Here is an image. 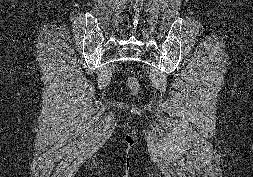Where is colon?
Here are the masks:
<instances>
[{"instance_id":"1","label":"colon","mask_w":253,"mask_h":177,"mask_svg":"<svg viewBox=\"0 0 253 177\" xmlns=\"http://www.w3.org/2000/svg\"><path fill=\"white\" fill-rule=\"evenodd\" d=\"M127 82L132 93H136L139 89V84L136 78L133 76H129Z\"/></svg>"}]
</instances>
